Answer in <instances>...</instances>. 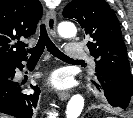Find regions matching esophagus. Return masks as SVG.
<instances>
[{"instance_id": "34e87169", "label": "esophagus", "mask_w": 133, "mask_h": 118, "mask_svg": "<svg viewBox=\"0 0 133 118\" xmlns=\"http://www.w3.org/2000/svg\"><path fill=\"white\" fill-rule=\"evenodd\" d=\"M46 25L49 30L50 35L56 39L57 33H56V13L54 10H48L46 13ZM70 97L69 91H62L59 92V98L61 100H67Z\"/></svg>"}]
</instances>
